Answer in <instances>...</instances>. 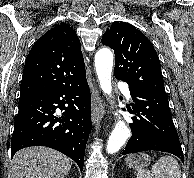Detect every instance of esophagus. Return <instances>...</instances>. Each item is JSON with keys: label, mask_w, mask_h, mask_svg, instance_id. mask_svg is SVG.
I'll return each instance as SVG.
<instances>
[{"label": "esophagus", "mask_w": 194, "mask_h": 178, "mask_svg": "<svg viewBox=\"0 0 194 178\" xmlns=\"http://www.w3.org/2000/svg\"><path fill=\"white\" fill-rule=\"evenodd\" d=\"M97 94L93 95L92 97V104H91V117L93 124H96L102 120L105 114V105L100 98L98 91H96Z\"/></svg>", "instance_id": "esophagus-1"}]
</instances>
